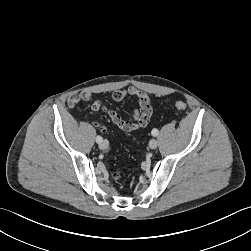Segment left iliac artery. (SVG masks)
<instances>
[{"mask_svg":"<svg viewBox=\"0 0 251 251\" xmlns=\"http://www.w3.org/2000/svg\"><path fill=\"white\" fill-rule=\"evenodd\" d=\"M151 133H152V135L154 136V137H156L157 135H158V130L157 129H153L152 131H151Z\"/></svg>","mask_w":251,"mask_h":251,"instance_id":"left-iliac-artery-1","label":"left iliac artery"}]
</instances>
